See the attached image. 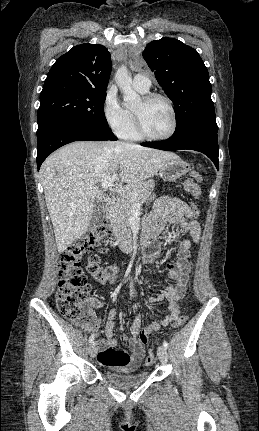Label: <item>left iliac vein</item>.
Masks as SVG:
<instances>
[{
    "label": "left iliac vein",
    "mask_w": 259,
    "mask_h": 431,
    "mask_svg": "<svg viewBox=\"0 0 259 431\" xmlns=\"http://www.w3.org/2000/svg\"><path fill=\"white\" fill-rule=\"evenodd\" d=\"M157 355L162 364L167 363L168 353H167V349L164 346H159L157 350Z\"/></svg>",
    "instance_id": "4c4485c4"
}]
</instances>
